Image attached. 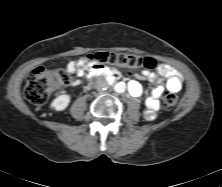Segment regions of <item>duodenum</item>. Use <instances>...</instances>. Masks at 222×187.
Here are the masks:
<instances>
[{
	"label": "duodenum",
	"instance_id": "410a0bca",
	"mask_svg": "<svg viewBox=\"0 0 222 187\" xmlns=\"http://www.w3.org/2000/svg\"><path fill=\"white\" fill-rule=\"evenodd\" d=\"M101 74H105L108 78L109 81L113 82L117 79V77L113 74H110L107 72V70L105 69H97V70H93L90 72V77L96 76V75H101Z\"/></svg>",
	"mask_w": 222,
	"mask_h": 187
}]
</instances>
